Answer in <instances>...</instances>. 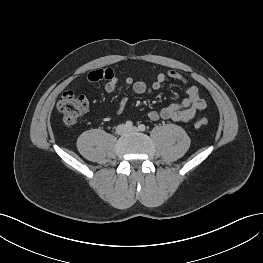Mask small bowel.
Returning <instances> with one entry per match:
<instances>
[{"mask_svg": "<svg viewBox=\"0 0 263 263\" xmlns=\"http://www.w3.org/2000/svg\"><path fill=\"white\" fill-rule=\"evenodd\" d=\"M168 79L178 80L187 83V79L175 70H167L159 73L150 85L140 80H134L131 77L119 78L113 69H99L87 74L84 83L86 85L105 80L104 89L107 93L114 92L120 85L130 88L135 94L142 95L159 90ZM187 98L181 103L171 104L158 111L147 113L148 119L157 121L159 119L173 120L180 123H188L195 116L202 112L205 107V101L200 97L196 86H189L186 90ZM127 105V100L123 99L117 107V113L123 114Z\"/></svg>", "mask_w": 263, "mask_h": 263, "instance_id": "obj_1", "label": "small bowel"}]
</instances>
